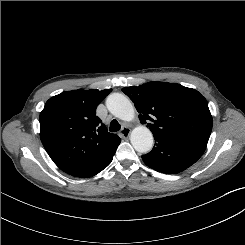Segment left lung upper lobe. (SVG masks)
<instances>
[{
	"instance_id": "1",
	"label": "left lung upper lobe",
	"mask_w": 245,
	"mask_h": 245,
	"mask_svg": "<svg viewBox=\"0 0 245 245\" xmlns=\"http://www.w3.org/2000/svg\"><path fill=\"white\" fill-rule=\"evenodd\" d=\"M122 91L132 100L142 124L154 137L182 141L206 149L212 116L206 99L195 89L180 84L149 82L125 87Z\"/></svg>"
}]
</instances>
